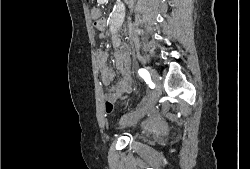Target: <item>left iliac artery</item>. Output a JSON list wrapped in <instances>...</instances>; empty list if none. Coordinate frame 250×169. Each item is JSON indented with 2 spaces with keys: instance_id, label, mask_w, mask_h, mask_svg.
Returning a JSON list of instances; mask_svg holds the SVG:
<instances>
[{
  "instance_id": "44dca946",
  "label": "left iliac artery",
  "mask_w": 250,
  "mask_h": 169,
  "mask_svg": "<svg viewBox=\"0 0 250 169\" xmlns=\"http://www.w3.org/2000/svg\"><path fill=\"white\" fill-rule=\"evenodd\" d=\"M138 73L146 81V83L148 84L152 83L150 74L146 69L141 68L139 69Z\"/></svg>"
}]
</instances>
